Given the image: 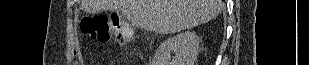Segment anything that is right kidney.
<instances>
[{
    "label": "right kidney",
    "mask_w": 309,
    "mask_h": 65,
    "mask_svg": "<svg viewBox=\"0 0 309 65\" xmlns=\"http://www.w3.org/2000/svg\"><path fill=\"white\" fill-rule=\"evenodd\" d=\"M198 49L199 37L194 31L179 33L159 45L152 65H194ZM171 52L175 54L173 58Z\"/></svg>",
    "instance_id": "ca27d5eb"
}]
</instances>
